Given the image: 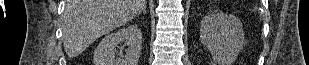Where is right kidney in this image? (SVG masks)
Returning <instances> with one entry per match:
<instances>
[{
	"label": "right kidney",
	"mask_w": 309,
	"mask_h": 65,
	"mask_svg": "<svg viewBox=\"0 0 309 65\" xmlns=\"http://www.w3.org/2000/svg\"><path fill=\"white\" fill-rule=\"evenodd\" d=\"M128 46L117 55V47ZM142 49V32L136 25L119 29L104 37L94 51V65H137Z\"/></svg>",
	"instance_id": "ca27d5eb"
}]
</instances>
